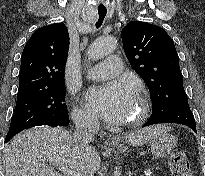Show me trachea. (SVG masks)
I'll return each instance as SVG.
<instances>
[{
    "instance_id": "obj_1",
    "label": "trachea",
    "mask_w": 205,
    "mask_h": 176,
    "mask_svg": "<svg viewBox=\"0 0 205 176\" xmlns=\"http://www.w3.org/2000/svg\"><path fill=\"white\" fill-rule=\"evenodd\" d=\"M106 13H107V10H104V9L98 10V21L96 22V28H99L102 25L104 18L106 16Z\"/></svg>"
}]
</instances>
